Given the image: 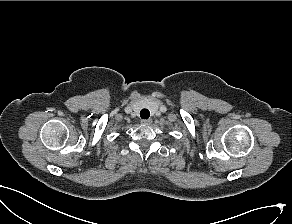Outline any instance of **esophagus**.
Masks as SVG:
<instances>
[{
	"mask_svg": "<svg viewBox=\"0 0 292 224\" xmlns=\"http://www.w3.org/2000/svg\"><path fill=\"white\" fill-rule=\"evenodd\" d=\"M151 123H152L151 119L142 120V124H144V125H150Z\"/></svg>",
	"mask_w": 292,
	"mask_h": 224,
	"instance_id": "34e87169",
	"label": "esophagus"
}]
</instances>
